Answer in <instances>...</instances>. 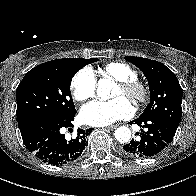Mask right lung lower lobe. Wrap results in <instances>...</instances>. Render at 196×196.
Instances as JSON below:
<instances>
[{
	"label": "right lung lower lobe",
	"instance_id": "obj_1",
	"mask_svg": "<svg viewBox=\"0 0 196 196\" xmlns=\"http://www.w3.org/2000/svg\"><path fill=\"white\" fill-rule=\"evenodd\" d=\"M75 114L64 118L39 117L20 126L26 148L43 162L56 166L78 158L88 144L86 136L93 129H78L76 138L66 140L61 128L72 127Z\"/></svg>",
	"mask_w": 196,
	"mask_h": 196
}]
</instances>
